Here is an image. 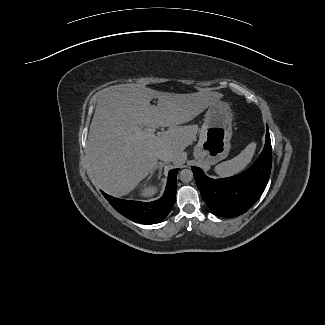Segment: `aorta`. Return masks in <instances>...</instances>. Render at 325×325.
<instances>
[{"label":"aorta","instance_id":"obj_1","mask_svg":"<svg viewBox=\"0 0 325 325\" xmlns=\"http://www.w3.org/2000/svg\"><path fill=\"white\" fill-rule=\"evenodd\" d=\"M179 178L182 182L188 183L193 179V172L189 169H183L179 173Z\"/></svg>","mask_w":325,"mask_h":325}]
</instances>
